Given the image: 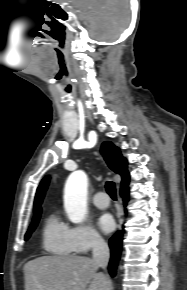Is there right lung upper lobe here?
<instances>
[{
  "label": "right lung upper lobe",
  "instance_id": "1",
  "mask_svg": "<svg viewBox=\"0 0 187 290\" xmlns=\"http://www.w3.org/2000/svg\"><path fill=\"white\" fill-rule=\"evenodd\" d=\"M101 154L103 155L104 160L106 161L108 167L116 173H119L122 176L121 182V191L128 190L129 184V173L127 170V160L122 157L120 149L113 145L110 141H106L102 144ZM49 183V177L44 178L36 192L35 201H34V218L41 215V203L45 195Z\"/></svg>",
  "mask_w": 187,
  "mask_h": 290
}]
</instances>
